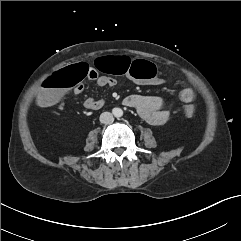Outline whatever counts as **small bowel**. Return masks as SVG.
Here are the masks:
<instances>
[{
  "mask_svg": "<svg viewBox=\"0 0 241 241\" xmlns=\"http://www.w3.org/2000/svg\"><path fill=\"white\" fill-rule=\"evenodd\" d=\"M88 79L93 80L100 87L113 88L117 84V80L109 75L100 74L97 67H90ZM161 78H153L147 81L150 85L163 84ZM82 84L75 86L73 92L79 95L83 92ZM180 98L183 102H191L195 98V92L192 88H184L180 92ZM84 107L88 110H98L105 105V99L89 97L84 100ZM124 105L135 109L138 116L147 123L160 126L167 123L170 118V102L166 99L153 95L131 94L124 99Z\"/></svg>",
  "mask_w": 241,
  "mask_h": 241,
  "instance_id": "c3829d8e",
  "label": "small bowel"
}]
</instances>
